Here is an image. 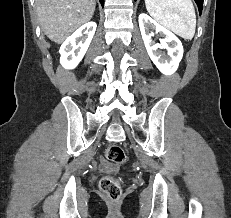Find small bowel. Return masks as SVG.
Wrapping results in <instances>:
<instances>
[{
  "mask_svg": "<svg viewBox=\"0 0 231 218\" xmlns=\"http://www.w3.org/2000/svg\"><path fill=\"white\" fill-rule=\"evenodd\" d=\"M100 170L101 171H105V172H114V171H117L118 170V166L113 164V163H110L108 161H106L105 159H100Z\"/></svg>",
  "mask_w": 231,
  "mask_h": 218,
  "instance_id": "c3829d8e",
  "label": "small bowel"
}]
</instances>
